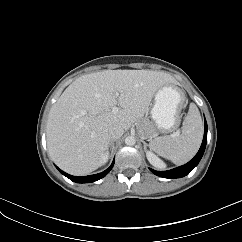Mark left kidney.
Here are the masks:
<instances>
[{"label": "left kidney", "instance_id": "left-kidney-1", "mask_svg": "<svg viewBox=\"0 0 242 242\" xmlns=\"http://www.w3.org/2000/svg\"><path fill=\"white\" fill-rule=\"evenodd\" d=\"M146 152V157L148 161L150 162L151 165L158 169H163L165 168V163L159 159L153 152L151 151H145Z\"/></svg>", "mask_w": 242, "mask_h": 242}]
</instances>
